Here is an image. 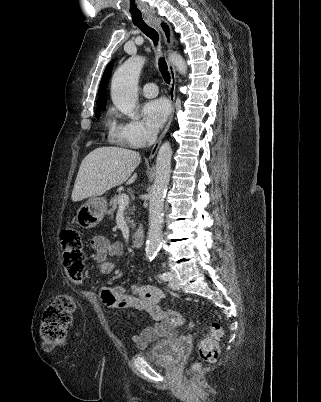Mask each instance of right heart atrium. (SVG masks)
Masks as SVG:
<instances>
[{"label":"right heart atrium","instance_id":"right-heart-atrium-1","mask_svg":"<svg viewBox=\"0 0 321 402\" xmlns=\"http://www.w3.org/2000/svg\"><path fill=\"white\" fill-rule=\"evenodd\" d=\"M111 136L132 148L143 147L154 139L153 132L137 119H126L116 124Z\"/></svg>","mask_w":321,"mask_h":402}]
</instances>
